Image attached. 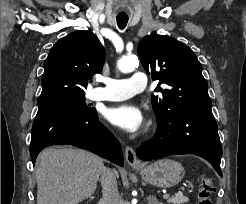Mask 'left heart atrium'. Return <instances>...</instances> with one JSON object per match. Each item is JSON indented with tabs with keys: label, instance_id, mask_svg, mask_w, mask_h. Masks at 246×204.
Masks as SVG:
<instances>
[{
	"label": "left heart atrium",
	"instance_id": "left-heart-atrium-1",
	"mask_svg": "<svg viewBox=\"0 0 246 204\" xmlns=\"http://www.w3.org/2000/svg\"><path fill=\"white\" fill-rule=\"evenodd\" d=\"M104 117L111 124L127 132L138 131L144 123L142 111L129 103L107 108Z\"/></svg>",
	"mask_w": 246,
	"mask_h": 204
}]
</instances>
